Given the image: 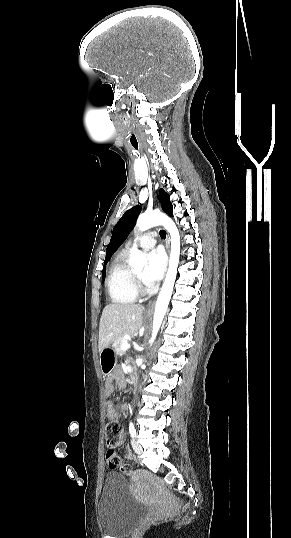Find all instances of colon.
Masks as SVG:
<instances>
[{
  "label": "colon",
  "mask_w": 291,
  "mask_h": 538,
  "mask_svg": "<svg viewBox=\"0 0 291 538\" xmlns=\"http://www.w3.org/2000/svg\"><path fill=\"white\" fill-rule=\"evenodd\" d=\"M105 433L109 447V451L107 453L108 463L114 467H119L121 471L128 474L130 471V465L123 463L113 450L123 438V430L116 419H111L107 423Z\"/></svg>",
  "instance_id": "obj_1"
}]
</instances>
